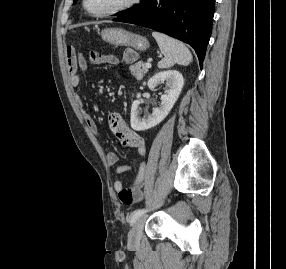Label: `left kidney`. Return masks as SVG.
I'll use <instances>...</instances> for the list:
<instances>
[{
	"instance_id": "left-kidney-1",
	"label": "left kidney",
	"mask_w": 286,
	"mask_h": 269,
	"mask_svg": "<svg viewBox=\"0 0 286 269\" xmlns=\"http://www.w3.org/2000/svg\"><path fill=\"white\" fill-rule=\"evenodd\" d=\"M166 82L167 89L161 96V105L153 110L151 115L141 119L139 114V98L141 94H137V100L132 103L131 107V127L136 131H144L159 124L169 114L177 101L184 85L182 74L176 70H168L159 72L148 81V87L154 89L159 84Z\"/></svg>"
}]
</instances>
